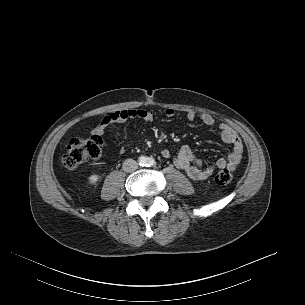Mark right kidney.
Returning a JSON list of instances; mask_svg holds the SVG:
<instances>
[{"mask_svg": "<svg viewBox=\"0 0 305 305\" xmlns=\"http://www.w3.org/2000/svg\"><path fill=\"white\" fill-rule=\"evenodd\" d=\"M88 179L91 184H95L99 180V176L94 174V175H91Z\"/></svg>", "mask_w": 305, "mask_h": 305, "instance_id": "ca27d5eb", "label": "right kidney"}]
</instances>
